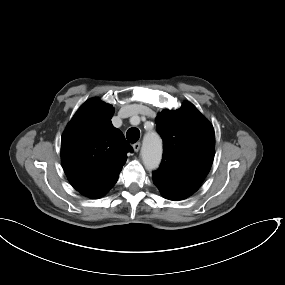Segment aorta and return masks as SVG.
Returning a JSON list of instances; mask_svg holds the SVG:
<instances>
[{
  "instance_id": "aorta-1",
  "label": "aorta",
  "mask_w": 285,
  "mask_h": 285,
  "mask_svg": "<svg viewBox=\"0 0 285 285\" xmlns=\"http://www.w3.org/2000/svg\"><path fill=\"white\" fill-rule=\"evenodd\" d=\"M141 157L146 169L154 170L159 167L162 159V141L157 133L151 132L144 136Z\"/></svg>"
}]
</instances>
